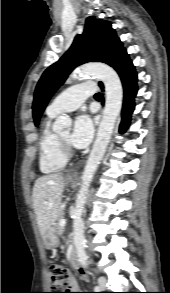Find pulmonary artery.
<instances>
[{"label": "pulmonary artery", "instance_id": "e3ab8cb5", "mask_svg": "<svg viewBox=\"0 0 170 293\" xmlns=\"http://www.w3.org/2000/svg\"><path fill=\"white\" fill-rule=\"evenodd\" d=\"M95 92L93 83H81L65 89L47 107V113L58 115L79 108L85 99Z\"/></svg>", "mask_w": 170, "mask_h": 293}]
</instances>
